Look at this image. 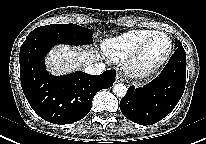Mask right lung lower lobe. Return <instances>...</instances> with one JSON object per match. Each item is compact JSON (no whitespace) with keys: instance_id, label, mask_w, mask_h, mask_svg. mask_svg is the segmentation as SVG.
Listing matches in <instances>:
<instances>
[{"instance_id":"1","label":"right lung lower lobe","mask_w":206,"mask_h":144,"mask_svg":"<svg viewBox=\"0 0 206 144\" xmlns=\"http://www.w3.org/2000/svg\"><path fill=\"white\" fill-rule=\"evenodd\" d=\"M71 44L46 36L27 37L20 48L21 86L30 106L44 120L54 124H71L84 118L92 107L95 94L109 88L116 72L101 75L81 71L54 77L45 69L47 52L57 44Z\"/></svg>"}]
</instances>
